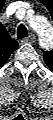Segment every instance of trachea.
Here are the masks:
<instances>
[{
    "instance_id": "trachea-1",
    "label": "trachea",
    "mask_w": 53,
    "mask_h": 120,
    "mask_svg": "<svg viewBox=\"0 0 53 120\" xmlns=\"http://www.w3.org/2000/svg\"><path fill=\"white\" fill-rule=\"evenodd\" d=\"M25 37H28V31L23 24H20L17 28V38L23 39Z\"/></svg>"
}]
</instances>
